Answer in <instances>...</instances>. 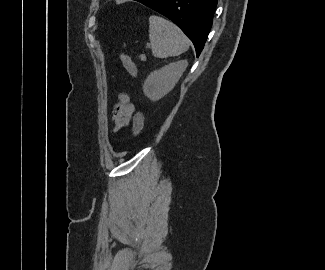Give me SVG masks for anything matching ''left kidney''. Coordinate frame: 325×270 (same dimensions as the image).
<instances>
[{
  "label": "left kidney",
  "mask_w": 325,
  "mask_h": 270,
  "mask_svg": "<svg viewBox=\"0 0 325 270\" xmlns=\"http://www.w3.org/2000/svg\"><path fill=\"white\" fill-rule=\"evenodd\" d=\"M187 65L186 60L177 61L151 72L143 85L144 94L152 101L164 97L175 87Z\"/></svg>",
  "instance_id": "left-kidney-1"
}]
</instances>
